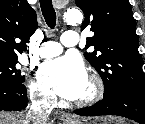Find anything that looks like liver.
Returning a JSON list of instances; mask_svg holds the SVG:
<instances>
[{"instance_id": "1", "label": "liver", "mask_w": 145, "mask_h": 124, "mask_svg": "<svg viewBox=\"0 0 145 124\" xmlns=\"http://www.w3.org/2000/svg\"><path fill=\"white\" fill-rule=\"evenodd\" d=\"M25 118L16 113H0V124H25Z\"/></svg>"}]
</instances>
